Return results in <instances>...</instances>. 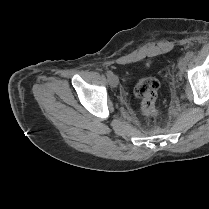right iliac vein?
Here are the masks:
<instances>
[{"mask_svg":"<svg viewBox=\"0 0 209 209\" xmlns=\"http://www.w3.org/2000/svg\"><path fill=\"white\" fill-rule=\"evenodd\" d=\"M118 82H119L118 77L115 74H112L109 77V83L111 87H117Z\"/></svg>","mask_w":209,"mask_h":209,"instance_id":"obj_1","label":"right iliac vein"}]
</instances>
